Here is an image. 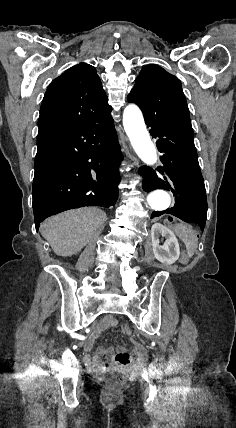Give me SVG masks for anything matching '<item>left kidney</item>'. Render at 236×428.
<instances>
[{
    "mask_svg": "<svg viewBox=\"0 0 236 428\" xmlns=\"http://www.w3.org/2000/svg\"><path fill=\"white\" fill-rule=\"evenodd\" d=\"M160 236L166 238L164 246H159ZM151 240L153 254L156 260H159L162 264H174V262L178 260L180 256V248L178 240L172 230L165 228L162 224H153L151 228Z\"/></svg>",
    "mask_w": 236,
    "mask_h": 428,
    "instance_id": "5707ae66",
    "label": "left kidney"
}]
</instances>
